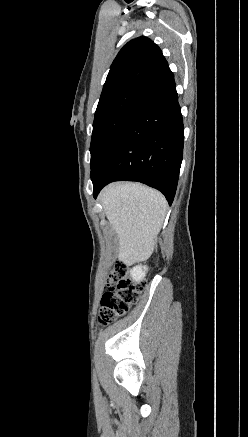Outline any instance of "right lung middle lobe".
<instances>
[{"instance_id": "1", "label": "right lung middle lobe", "mask_w": 248, "mask_h": 437, "mask_svg": "<svg viewBox=\"0 0 248 437\" xmlns=\"http://www.w3.org/2000/svg\"><path fill=\"white\" fill-rule=\"evenodd\" d=\"M139 93V91L126 92L97 107L90 145L91 168Z\"/></svg>"}]
</instances>
